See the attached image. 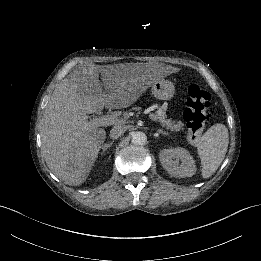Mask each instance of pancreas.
<instances>
[{"label": "pancreas", "mask_w": 261, "mask_h": 261, "mask_svg": "<svg viewBox=\"0 0 261 261\" xmlns=\"http://www.w3.org/2000/svg\"><path fill=\"white\" fill-rule=\"evenodd\" d=\"M164 110L160 109L154 113L157 122H160L161 126L172 132H179L185 129L183 121L179 120H170L166 115V107H163Z\"/></svg>", "instance_id": "1"}]
</instances>
